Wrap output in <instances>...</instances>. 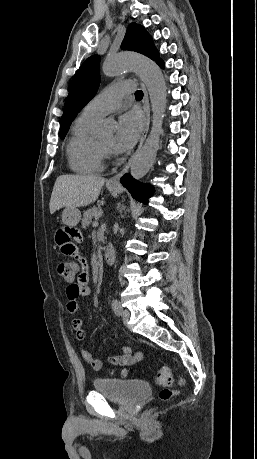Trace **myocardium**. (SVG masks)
I'll list each match as a JSON object with an SVG mask.
<instances>
[{"mask_svg":"<svg viewBox=\"0 0 257 459\" xmlns=\"http://www.w3.org/2000/svg\"><path fill=\"white\" fill-rule=\"evenodd\" d=\"M98 145H99V148L101 150V152L103 153L104 156H107L111 153V147H107L105 145H103L100 141H98Z\"/></svg>","mask_w":257,"mask_h":459,"instance_id":"f54148a6","label":"myocardium"}]
</instances>
